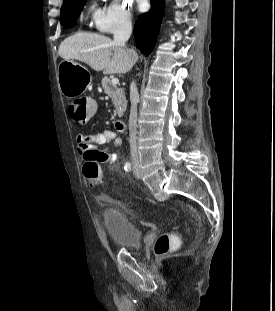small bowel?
I'll return each instance as SVG.
<instances>
[{"instance_id":"obj_1","label":"small bowel","mask_w":275,"mask_h":311,"mask_svg":"<svg viewBox=\"0 0 275 311\" xmlns=\"http://www.w3.org/2000/svg\"><path fill=\"white\" fill-rule=\"evenodd\" d=\"M109 142H112L115 148H120L123 144L116 131L108 129L101 132L79 134L76 138V148L81 158L86 162L98 160L115 163L118 159L117 154L98 149V146H103Z\"/></svg>"}]
</instances>
